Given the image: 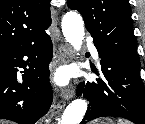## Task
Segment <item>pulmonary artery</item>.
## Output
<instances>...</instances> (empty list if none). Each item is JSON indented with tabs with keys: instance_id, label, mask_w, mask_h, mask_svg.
<instances>
[{
	"instance_id": "1",
	"label": "pulmonary artery",
	"mask_w": 145,
	"mask_h": 124,
	"mask_svg": "<svg viewBox=\"0 0 145 124\" xmlns=\"http://www.w3.org/2000/svg\"><path fill=\"white\" fill-rule=\"evenodd\" d=\"M90 51H91V54H92L93 58L98 61L99 60V54H98L96 48L93 47V46H90Z\"/></svg>"
}]
</instances>
